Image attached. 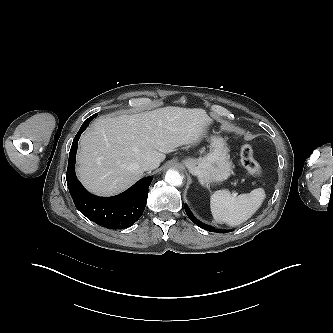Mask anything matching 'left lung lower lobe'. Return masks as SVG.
Masks as SVG:
<instances>
[{"label":"left lung lower lobe","instance_id":"1","mask_svg":"<svg viewBox=\"0 0 333 333\" xmlns=\"http://www.w3.org/2000/svg\"><path fill=\"white\" fill-rule=\"evenodd\" d=\"M185 211L187 213V216L189 217V219L195 223L197 226L203 228L204 230L210 231V232H218V233H227L229 232L228 230H219V229H215L214 227L208 226L202 222H200L199 220H197L188 210L187 207H185Z\"/></svg>","mask_w":333,"mask_h":333}]
</instances>
